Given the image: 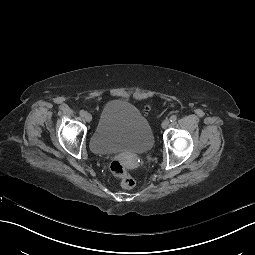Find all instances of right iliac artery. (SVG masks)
Masks as SVG:
<instances>
[{
  "instance_id": "1",
  "label": "right iliac artery",
  "mask_w": 255,
  "mask_h": 255,
  "mask_svg": "<svg viewBox=\"0 0 255 255\" xmlns=\"http://www.w3.org/2000/svg\"><path fill=\"white\" fill-rule=\"evenodd\" d=\"M79 114H80L81 116H85L86 112H85L84 110H81V111L79 112Z\"/></svg>"
}]
</instances>
